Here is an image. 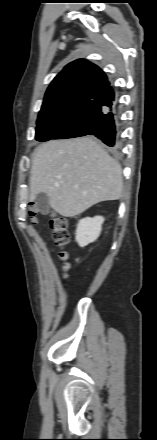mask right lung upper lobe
I'll return each mask as SVG.
<instances>
[{"instance_id":"right-lung-upper-lobe-1","label":"right lung upper lobe","mask_w":157,"mask_h":440,"mask_svg":"<svg viewBox=\"0 0 157 440\" xmlns=\"http://www.w3.org/2000/svg\"><path fill=\"white\" fill-rule=\"evenodd\" d=\"M114 107V92L105 73L87 60L79 59L69 63L54 78L37 122L78 120L88 126Z\"/></svg>"}]
</instances>
